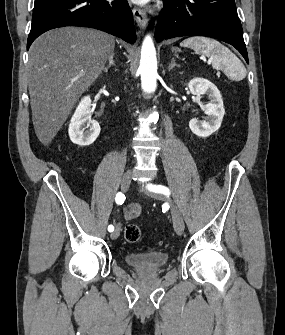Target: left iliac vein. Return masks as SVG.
<instances>
[{
	"label": "left iliac vein",
	"mask_w": 285,
	"mask_h": 335,
	"mask_svg": "<svg viewBox=\"0 0 285 335\" xmlns=\"http://www.w3.org/2000/svg\"><path fill=\"white\" fill-rule=\"evenodd\" d=\"M140 191L144 192V184H140ZM154 198L156 199H163L164 196L161 194H157V193H150ZM170 207H171V215H172V219H173V225H174V229L176 231L177 234H182L185 228V224H184V220L182 218L181 213L179 212V210L176 208V206L172 203L171 200H168Z\"/></svg>",
	"instance_id": "obj_1"
}]
</instances>
